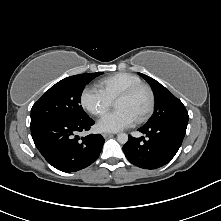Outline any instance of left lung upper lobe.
<instances>
[{
    "label": "left lung upper lobe",
    "instance_id": "obj_1",
    "mask_svg": "<svg viewBox=\"0 0 221 221\" xmlns=\"http://www.w3.org/2000/svg\"><path fill=\"white\" fill-rule=\"evenodd\" d=\"M138 74L150 84L155 97L154 114L145 125H156L173 120L188 121V112L179 99L155 79L142 73Z\"/></svg>",
    "mask_w": 221,
    "mask_h": 221
}]
</instances>
